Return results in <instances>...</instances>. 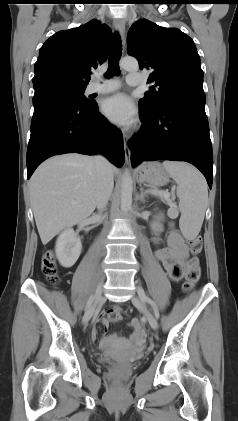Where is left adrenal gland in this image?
<instances>
[{"mask_svg": "<svg viewBox=\"0 0 238 421\" xmlns=\"http://www.w3.org/2000/svg\"><path fill=\"white\" fill-rule=\"evenodd\" d=\"M147 197V192L144 190V188L141 186L140 187V196H139V200L142 203H145V198Z\"/></svg>", "mask_w": 238, "mask_h": 421, "instance_id": "a2214340", "label": "left adrenal gland"}]
</instances>
